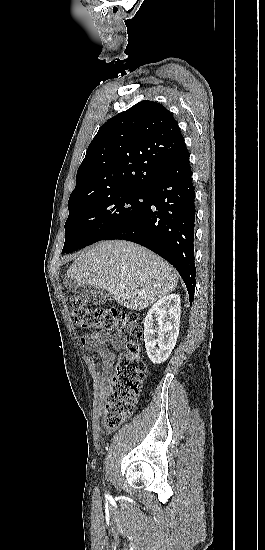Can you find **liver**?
Masks as SVG:
<instances>
[{
  "label": "liver",
  "mask_w": 265,
  "mask_h": 550,
  "mask_svg": "<svg viewBox=\"0 0 265 550\" xmlns=\"http://www.w3.org/2000/svg\"><path fill=\"white\" fill-rule=\"evenodd\" d=\"M77 283L106 290L120 305L142 310L173 292L177 271L148 249L123 240L101 241L78 252L67 271ZM125 285V289L119 285Z\"/></svg>",
  "instance_id": "obj_1"
}]
</instances>
